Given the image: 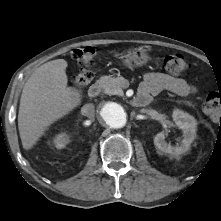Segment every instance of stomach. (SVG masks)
<instances>
[{
	"instance_id": "0dacf381",
	"label": "stomach",
	"mask_w": 221,
	"mask_h": 221,
	"mask_svg": "<svg viewBox=\"0 0 221 221\" xmlns=\"http://www.w3.org/2000/svg\"><path fill=\"white\" fill-rule=\"evenodd\" d=\"M149 60V56L145 49L132 48L123 52L122 61L126 67L136 68L145 65Z\"/></svg>"
}]
</instances>
